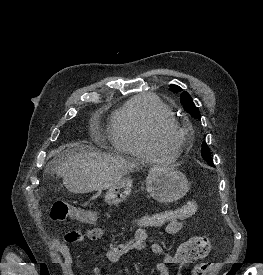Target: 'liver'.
Here are the masks:
<instances>
[{
	"mask_svg": "<svg viewBox=\"0 0 263 275\" xmlns=\"http://www.w3.org/2000/svg\"><path fill=\"white\" fill-rule=\"evenodd\" d=\"M137 167L138 164L122 157L81 151L59 162L56 175L63 178L69 192L79 194L109 189Z\"/></svg>",
	"mask_w": 263,
	"mask_h": 275,
	"instance_id": "obj_1",
	"label": "liver"
}]
</instances>
